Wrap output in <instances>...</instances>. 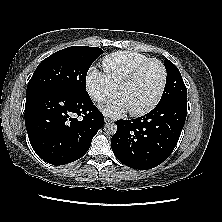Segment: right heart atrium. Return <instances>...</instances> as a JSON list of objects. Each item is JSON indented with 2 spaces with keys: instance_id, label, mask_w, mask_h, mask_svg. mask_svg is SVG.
I'll return each mask as SVG.
<instances>
[{
  "instance_id": "1",
  "label": "right heart atrium",
  "mask_w": 222,
  "mask_h": 222,
  "mask_svg": "<svg viewBox=\"0 0 222 222\" xmlns=\"http://www.w3.org/2000/svg\"><path fill=\"white\" fill-rule=\"evenodd\" d=\"M86 87L94 101L101 102L117 91V86L108 75L95 67H91L86 76Z\"/></svg>"
}]
</instances>
